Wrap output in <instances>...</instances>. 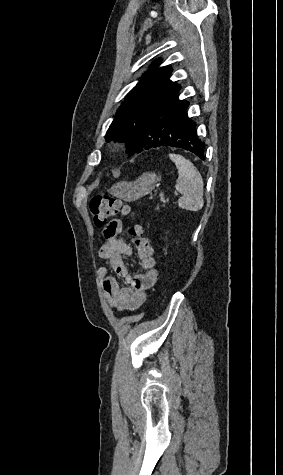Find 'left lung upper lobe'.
<instances>
[{
	"mask_svg": "<svg viewBox=\"0 0 283 475\" xmlns=\"http://www.w3.org/2000/svg\"><path fill=\"white\" fill-rule=\"evenodd\" d=\"M159 61L152 64L150 70L128 93L126 100L116 112L106 140L118 139L120 135H139L152 109L177 86L169 77V66L158 68Z\"/></svg>",
	"mask_w": 283,
	"mask_h": 475,
	"instance_id": "obj_1",
	"label": "left lung upper lobe"
}]
</instances>
